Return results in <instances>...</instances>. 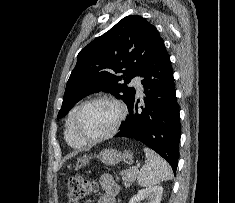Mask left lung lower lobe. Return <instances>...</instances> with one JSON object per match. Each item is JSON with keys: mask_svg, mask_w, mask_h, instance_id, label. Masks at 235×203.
Masks as SVG:
<instances>
[{"mask_svg": "<svg viewBox=\"0 0 235 203\" xmlns=\"http://www.w3.org/2000/svg\"><path fill=\"white\" fill-rule=\"evenodd\" d=\"M140 76L144 87V106L134 98L129 116L115 137L139 140L157 152L176 174L179 156L180 117L169 55L161 38Z\"/></svg>", "mask_w": 235, "mask_h": 203, "instance_id": "1", "label": "left lung lower lobe"}]
</instances>
